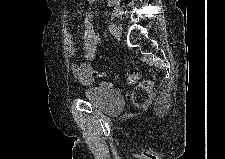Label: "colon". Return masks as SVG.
I'll list each match as a JSON object with an SVG mask.
<instances>
[{
  "mask_svg": "<svg viewBox=\"0 0 225 159\" xmlns=\"http://www.w3.org/2000/svg\"><path fill=\"white\" fill-rule=\"evenodd\" d=\"M104 75V74H103ZM138 73L136 71L129 73L124 84L133 85L138 80ZM155 86L154 77L145 79L138 83L132 92V102L138 108H145L150 104L152 91Z\"/></svg>",
  "mask_w": 225,
  "mask_h": 159,
  "instance_id": "1",
  "label": "colon"
}]
</instances>
